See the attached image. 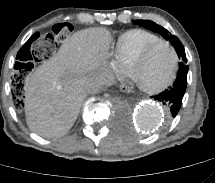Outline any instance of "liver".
<instances>
[{"instance_id":"liver-1","label":"liver","mask_w":215,"mask_h":183,"mask_svg":"<svg viewBox=\"0 0 215 183\" xmlns=\"http://www.w3.org/2000/svg\"><path fill=\"white\" fill-rule=\"evenodd\" d=\"M110 41L104 28L78 31L36 68L25 83V115L32 132L46 138L69 132L88 93L85 83L106 74Z\"/></svg>"}]
</instances>
